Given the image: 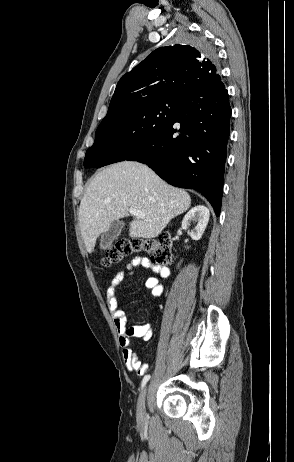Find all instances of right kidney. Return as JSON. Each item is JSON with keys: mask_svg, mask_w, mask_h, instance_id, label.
<instances>
[{"mask_svg": "<svg viewBox=\"0 0 294 462\" xmlns=\"http://www.w3.org/2000/svg\"><path fill=\"white\" fill-rule=\"evenodd\" d=\"M209 217L210 213L207 207L195 206L184 216L182 229L187 230L191 222H196L195 228L188 231V234L193 240H200L209 222Z\"/></svg>", "mask_w": 294, "mask_h": 462, "instance_id": "right-kidney-1", "label": "right kidney"}]
</instances>
